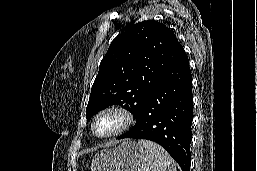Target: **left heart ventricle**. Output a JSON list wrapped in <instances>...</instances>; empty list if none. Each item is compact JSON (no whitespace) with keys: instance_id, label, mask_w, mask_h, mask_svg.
Masks as SVG:
<instances>
[{"instance_id":"left-heart-ventricle-1","label":"left heart ventricle","mask_w":257,"mask_h":171,"mask_svg":"<svg viewBox=\"0 0 257 171\" xmlns=\"http://www.w3.org/2000/svg\"><path fill=\"white\" fill-rule=\"evenodd\" d=\"M120 118L118 115L110 113L102 116L95 125L97 134H106L118 127Z\"/></svg>"}]
</instances>
